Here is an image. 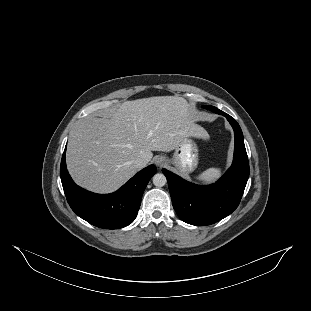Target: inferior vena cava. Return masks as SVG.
I'll return each instance as SVG.
<instances>
[{
    "instance_id": "inferior-vena-cava-1",
    "label": "inferior vena cava",
    "mask_w": 311,
    "mask_h": 311,
    "mask_svg": "<svg viewBox=\"0 0 311 311\" xmlns=\"http://www.w3.org/2000/svg\"><path fill=\"white\" fill-rule=\"evenodd\" d=\"M135 163H136L138 166H140L141 163H142V159H141V158H137L136 161H135Z\"/></svg>"
}]
</instances>
